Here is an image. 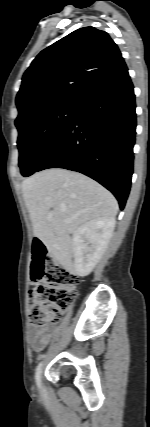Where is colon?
<instances>
[{
  "mask_svg": "<svg viewBox=\"0 0 150 427\" xmlns=\"http://www.w3.org/2000/svg\"><path fill=\"white\" fill-rule=\"evenodd\" d=\"M32 279L29 290L30 323L37 327L56 323L76 296L79 278L54 260L39 239L32 242Z\"/></svg>",
  "mask_w": 150,
  "mask_h": 427,
  "instance_id": "colon-1",
  "label": "colon"
}]
</instances>
